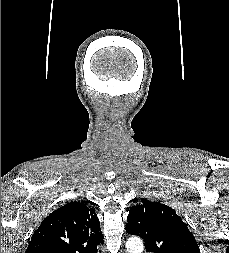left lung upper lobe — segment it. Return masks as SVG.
<instances>
[{"instance_id": "left-lung-upper-lobe-1", "label": "left lung upper lobe", "mask_w": 229, "mask_h": 253, "mask_svg": "<svg viewBox=\"0 0 229 253\" xmlns=\"http://www.w3.org/2000/svg\"><path fill=\"white\" fill-rule=\"evenodd\" d=\"M127 222L128 234L140 236L149 253H200L187 225L165 204L142 200L130 208Z\"/></svg>"}]
</instances>
